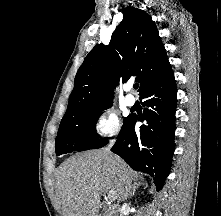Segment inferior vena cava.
Segmentation results:
<instances>
[{
	"label": "inferior vena cava",
	"instance_id": "602c4592",
	"mask_svg": "<svg viewBox=\"0 0 221 216\" xmlns=\"http://www.w3.org/2000/svg\"><path fill=\"white\" fill-rule=\"evenodd\" d=\"M110 147H111V144L108 146V150L110 149ZM121 216V215H120Z\"/></svg>",
	"mask_w": 221,
	"mask_h": 216
}]
</instances>
